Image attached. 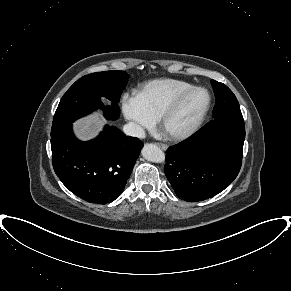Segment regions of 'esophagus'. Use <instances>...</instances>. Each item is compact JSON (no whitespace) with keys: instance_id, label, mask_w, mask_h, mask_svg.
<instances>
[{"instance_id":"34e87169","label":"esophagus","mask_w":291,"mask_h":291,"mask_svg":"<svg viewBox=\"0 0 291 291\" xmlns=\"http://www.w3.org/2000/svg\"><path fill=\"white\" fill-rule=\"evenodd\" d=\"M157 146H159L160 148H162L163 150H167L168 146L166 144H162V143H156Z\"/></svg>"}]
</instances>
